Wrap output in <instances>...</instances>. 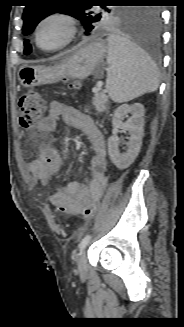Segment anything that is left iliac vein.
Masks as SVG:
<instances>
[{
    "mask_svg": "<svg viewBox=\"0 0 184 327\" xmlns=\"http://www.w3.org/2000/svg\"><path fill=\"white\" fill-rule=\"evenodd\" d=\"M78 271L80 276L84 277L87 274V259H86V253L85 251L81 252L79 258H78Z\"/></svg>",
    "mask_w": 184,
    "mask_h": 327,
    "instance_id": "4c4485c4",
    "label": "left iliac vein"
}]
</instances>
